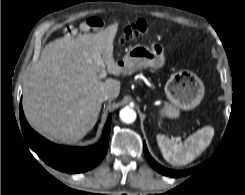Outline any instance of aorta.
<instances>
[{"label": "aorta", "instance_id": "obj_1", "mask_svg": "<svg viewBox=\"0 0 245 195\" xmlns=\"http://www.w3.org/2000/svg\"><path fill=\"white\" fill-rule=\"evenodd\" d=\"M119 116L123 122L132 123L136 119V112L130 107H125L121 109Z\"/></svg>", "mask_w": 245, "mask_h": 195}]
</instances>
